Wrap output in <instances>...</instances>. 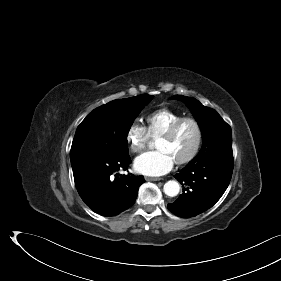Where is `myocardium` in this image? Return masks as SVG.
Segmentation results:
<instances>
[{"mask_svg": "<svg viewBox=\"0 0 281 281\" xmlns=\"http://www.w3.org/2000/svg\"><path fill=\"white\" fill-rule=\"evenodd\" d=\"M185 122H191L195 126L196 132H197V139H196V143H195L192 151L186 157L175 161L176 164H178V165H184V164H187V163L191 162L198 155V153L200 151V148H201V145H202V142H203V130H202V126L199 123V121L197 119L193 118V117H181L178 120H176L159 137V139H171L176 134L179 127Z\"/></svg>", "mask_w": 281, "mask_h": 281, "instance_id": "1", "label": "myocardium"}]
</instances>
